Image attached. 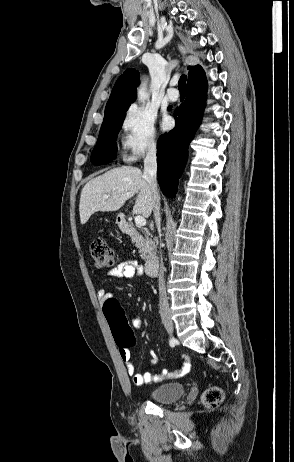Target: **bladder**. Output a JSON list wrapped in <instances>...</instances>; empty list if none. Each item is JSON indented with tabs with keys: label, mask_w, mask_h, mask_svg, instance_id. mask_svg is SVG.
<instances>
[{
	"label": "bladder",
	"mask_w": 294,
	"mask_h": 462,
	"mask_svg": "<svg viewBox=\"0 0 294 462\" xmlns=\"http://www.w3.org/2000/svg\"><path fill=\"white\" fill-rule=\"evenodd\" d=\"M184 392L185 386L182 383H166L152 390L149 398L156 403H171L178 400Z\"/></svg>",
	"instance_id": "1"
}]
</instances>
